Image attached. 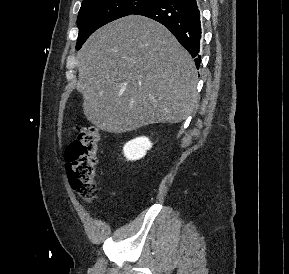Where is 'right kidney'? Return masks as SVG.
I'll list each match as a JSON object with an SVG mask.
<instances>
[{
    "label": "right kidney",
    "mask_w": 289,
    "mask_h": 274,
    "mask_svg": "<svg viewBox=\"0 0 289 274\" xmlns=\"http://www.w3.org/2000/svg\"><path fill=\"white\" fill-rule=\"evenodd\" d=\"M152 143L147 137H138L127 142L123 147L124 156L131 161L139 160L146 155Z\"/></svg>",
    "instance_id": "obj_1"
}]
</instances>
